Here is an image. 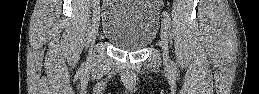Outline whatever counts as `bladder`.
I'll use <instances>...</instances> for the list:
<instances>
[{"instance_id":"31cf9c89","label":"bladder","mask_w":259,"mask_h":94,"mask_svg":"<svg viewBox=\"0 0 259 94\" xmlns=\"http://www.w3.org/2000/svg\"><path fill=\"white\" fill-rule=\"evenodd\" d=\"M159 28L157 4L149 0H108L102 11V33L114 46L139 51L155 39Z\"/></svg>"}]
</instances>
